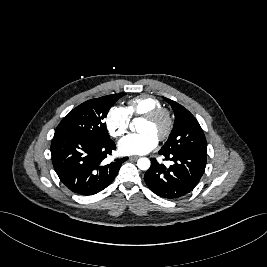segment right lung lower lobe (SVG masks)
Listing matches in <instances>:
<instances>
[{
	"mask_svg": "<svg viewBox=\"0 0 267 267\" xmlns=\"http://www.w3.org/2000/svg\"><path fill=\"white\" fill-rule=\"evenodd\" d=\"M116 149L109 139L53 137V167L61 182L79 195H92L105 189L116 177L121 164L128 158L107 164L105 158Z\"/></svg>",
	"mask_w": 267,
	"mask_h": 267,
	"instance_id": "1",
	"label": "right lung lower lobe"
}]
</instances>
